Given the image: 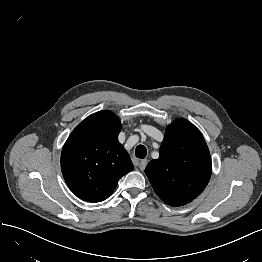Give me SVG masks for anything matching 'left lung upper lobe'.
Wrapping results in <instances>:
<instances>
[{
  "mask_svg": "<svg viewBox=\"0 0 262 262\" xmlns=\"http://www.w3.org/2000/svg\"><path fill=\"white\" fill-rule=\"evenodd\" d=\"M211 171V157L202 134L183 118L168 126L160 157L145 169L156 194L175 207L199 196L209 182Z\"/></svg>",
  "mask_w": 262,
  "mask_h": 262,
  "instance_id": "5c2ea615",
  "label": "left lung upper lobe"
}]
</instances>
